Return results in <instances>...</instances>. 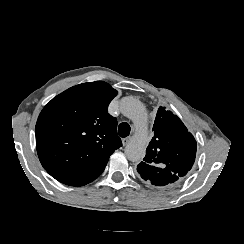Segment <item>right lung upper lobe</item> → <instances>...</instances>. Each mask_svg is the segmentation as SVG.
Instances as JSON below:
<instances>
[{
  "label": "right lung upper lobe",
  "instance_id": "1",
  "mask_svg": "<svg viewBox=\"0 0 244 244\" xmlns=\"http://www.w3.org/2000/svg\"><path fill=\"white\" fill-rule=\"evenodd\" d=\"M117 91L103 81L76 85L53 98L35 128L42 166L61 183L82 186L96 179L122 146L108 105Z\"/></svg>",
  "mask_w": 244,
  "mask_h": 244
}]
</instances>
